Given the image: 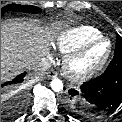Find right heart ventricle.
<instances>
[{
  "label": "right heart ventricle",
  "mask_w": 122,
  "mask_h": 122,
  "mask_svg": "<svg viewBox=\"0 0 122 122\" xmlns=\"http://www.w3.org/2000/svg\"><path fill=\"white\" fill-rule=\"evenodd\" d=\"M102 33L90 25H81L67 29L56 38V46L63 54H68L85 43L102 37Z\"/></svg>",
  "instance_id": "e07e8e85"
}]
</instances>
